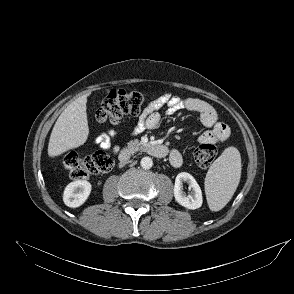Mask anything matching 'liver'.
Masks as SVG:
<instances>
[{
  "instance_id": "1",
  "label": "liver",
  "mask_w": 294,
  "mask_h": 294,
  "mask_svg": "<svg viewBox=\"0 0 294 294\" xmlns=\"http://www.w3.org/2000/svg\"><path fill=\"white\" fill-rule=\"evenodd\" d=\"M87 95L70 103L58 117L48 144L50 157L83 145L89 135L86 112Z\"/></svg>"
}]
</instances>
